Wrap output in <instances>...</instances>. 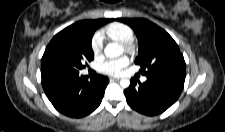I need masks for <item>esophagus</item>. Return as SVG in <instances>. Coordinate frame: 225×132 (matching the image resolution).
<instances>
[{"mask_svg": "<svg viewBox=\"0 0 225 132\" xmlns=\"http://www.w3.org/2000/svg\"><path fill=\"white\" fill-rule=\"evenodd\" d=\"M119 80H120L119 78H113V77L110 78V81H111V82L119 81Z\"/></svg>", "mask_w": 225, "mask_h": 132, "instance_id": "34e87169", "label": "esophagus"}]
</instances>
